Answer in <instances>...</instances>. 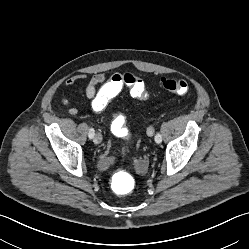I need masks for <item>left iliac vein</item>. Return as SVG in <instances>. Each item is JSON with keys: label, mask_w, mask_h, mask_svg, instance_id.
Instances as JSON below:
<instances>
[{"label": "left iliac vein", "mask_w": 249, "mask_h": 249, "mask_svg": "<svg viewBox=\"0 0 249 249\" xmlns=\"http://www.w3.org/2000/svg\"><path fill=\"white\" fill-rule=\"evenodd\" d=\"M147 134H148V136H153V134H154V128L149 127V128L147 129Z\"/></svg>", "instance_id": "4c4485c4"}]
</instances>
